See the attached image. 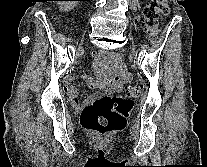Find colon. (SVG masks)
<instances>
[{"mask_svg":"<svg viewBox=\"0 0 207 167\" xmlns=\"http://www.w3.org/2000/svg\"><path fill=\"white\" fill-rule=\"evenodd\" d=\"M169 12L166 0H152L145 7V23L152 37H157L160 18L167 16ZM113 58L117 60L118 55H113ZM141 92V86L128 83L125 85L124 94L112 92L101 96L83 110L82 127L102 137L124 128L126 119L132 111L133 102Z\"/></svg>","mask_w":207,"mask_h":167,"instance_id":"colon-1","label":"colon"}]
</instances>
